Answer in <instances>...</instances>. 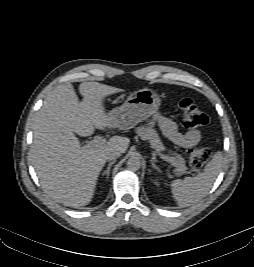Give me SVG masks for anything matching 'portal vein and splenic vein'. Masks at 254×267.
I'll use <instances>...</instances> for the list:
<instances>
[{
	"label": "portal vein and splenic vein",
	"mask_w": 254,
	"mask_h": 267,
	"mask_svg": "<svg viewBox=\"0 0 254 267\" xmlns=\"http://www.w3.org/2000/svg\"><path fill=\"white\" fill-rule=\"evenodd\" d=\"M106 143H107L106 139L103 138L102 136L98 135V136H95V138L92 141L88 142L87 146H96V147H98V146L104 145ZM159 157L161 159H163L164 161L169 162V163L172 164V160H171V158L169 156H166L164 154H159Z\"/></svg>",
	"instance_id": "obj_1"
}]
</instances>
